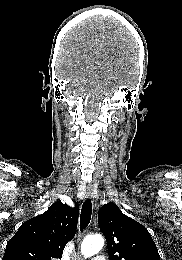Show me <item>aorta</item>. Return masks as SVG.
<instances>
[{"label": "aorta", "instance_id": "aorta-1", "mask_svg": "<svg viewBox=\"0 0 182 260\" xmlns=\"http://www.w3.org/2000/svg\"><path fill=\"white\" fill-rule=\"evenodd\" d=\"M104 246V239L101 235H89L84 238L81 244V253L84 257H92Z\"/></svg>", "mask_w": 182, "mask_h": 260}]
</instances>
